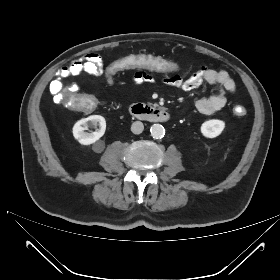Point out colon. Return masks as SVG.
<instances>
[{
	"label": "colon",
	"instance_id": "5ec220e1",
	"mask_svg": "<svg viewBox=\"0 0 280 280\" xmlns=\"http://www.w3.org/2000/svg\"><path fill=\"white\" fill-rule=\"evenodd\" d=\"M139 68L144 73L154 71L156 73H166L169 76H177L182 72L183 65L179 61L165 57L148 54H130L105 66L103 69L104 80L108 84H113L123 71L135 73ZM68 73V67L60 71L62 76L68 75ZM59 79L57 78L50 85V91L53 94L52 98L56 105L62 106L72 113L80 111L89 113L97 109L99 101L96 96L92 94L78 96L81 90L78 82L67 80L61 83ZM233 111L237 116H243L246 113V109L240 105L235 106Z\"/></svg>",
	"mask_w": 280,
	"mask_h": 280
}]
</instances>
